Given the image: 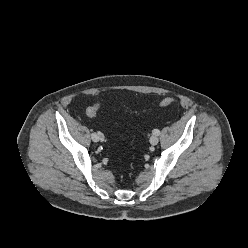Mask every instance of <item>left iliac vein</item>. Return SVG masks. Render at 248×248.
Returning a JSON list of instances; mask_svg holds the SVG:
<instances>
[{
	"instance_id": "obj_1",
	"label": "left iliac vein",
	"mask_w": 248,
	"mask_h": 248,
	"mask_svg": "<svg viewBox=\"0 0 248 248\" xmlns=\"http://www.w3.org/2000/svg\"><path fill=\"white\" fill-rule=\"evenodd\" d=\"M158 142H159V138H158L156 135H152V136L150 137V143H151L152 145H156Z\"/></svg>"
}]
</instances>
